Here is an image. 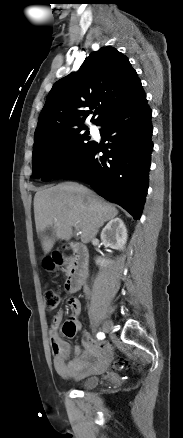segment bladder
<instances>
[{
    "label": "bladder",
    "mask_w": 183,
    "mask_h": 438,
    "mask_svg": "<svg viewBox=\"0 0 183 438\" xmlns=\"http://www.w3.org/2000/svg\"><path fill=\"white\" fill-rule=\"evenodd\" d=\"M99 377H88L86 379H84L81 383V387L84 389H91L94 388L98 385L99 383Z\"/></svg>",
    "instance_id": "bladder-1"
}]
</instances>
